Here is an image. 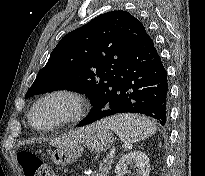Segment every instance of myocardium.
<instances>
[{
    "instance_id": "1",
    "label": "myocardium",
    "mask_w": 205,
    "mask_h": 176,
    "mask_svg": "<svg viewBox=\"0 0 205 176\" xmlns=\"http://www.w3.org/2000/svg\"><path fill=\"white\" fill-rule=\"evenodd\" d=\"M54 100L66 102L69 106V109L50 125L39 126L35 124L33 121V115L38 107ZM85 112V102L79 93L65 88L55 89L45 93L35 101L29 111L28 122L35 129H52L80 121L84 117Z\"/></svg>"
}]
</instances>
